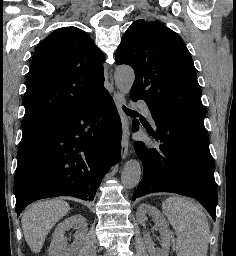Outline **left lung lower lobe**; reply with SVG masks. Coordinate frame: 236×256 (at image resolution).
I'll list each match as a JSON object with an SVG mask.
<instances>
[{
  "label": "left lung lower lobe",
  "instance_id": "0a47b994",
  "mask_svg": "<svg viewBox=\"0 0 236 256\" xmlns=\"http://www.w3.org/2000/svg\"><path fill=\"white\" fill-rule=\"evenodd\" d=\"M151 114L156 131L143 125L160 145L135 142L144 173L132 200L153 192L177 193L198 200L215 220L218 192L206 129L165 114ZM132 129H140L138 120H133Z\"/></svg>",
  "mask_w": 236,
  "mask_h": 256
}]
</instances>
